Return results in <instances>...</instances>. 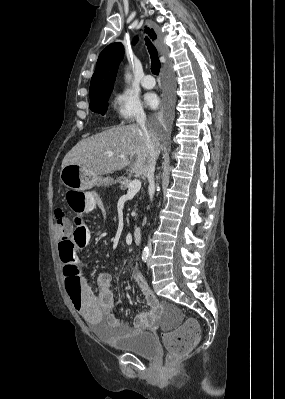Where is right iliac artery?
Returning <instances> with one entry per match:
<instances>
[{
	"instance_id": "82829eb1",
	"label": "right iliac artery",
	"mask_w": 285,
	"mask_h": 399,
	"mask_svg": "<svg viewBox=\"0 0 285 399\" xmlns=\"http://www.w3.org/2000/svg\"><path fill=\"white\" fill-rule=\"evenodd\" d=\"M148 257H149V250H148V248H145L143 253H142V260L144 262H147L148 261Z\"/></svg>"
}]
</instances>
